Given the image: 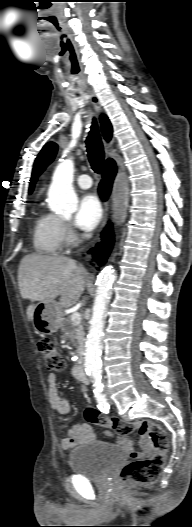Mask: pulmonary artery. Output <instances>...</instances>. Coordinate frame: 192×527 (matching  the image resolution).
I'll list each match as a JSON object with an SVG mask.
<instances>
[{
  "instance_id": "pulmonary-artery-1",
  "label": "pulmonary artery",
  "mask_w": 192,
  "mask_h": 527,
  "mask_svg": "<svg viewBox=\"0 0 192 527\" xmlns=\"http://www.w3.org/2000/svg\"><path fill=\"white\" fill-rule=\"evenodd\" d=\"M78 185L83 189H88L92 186V179L87 174H82L77 178Z\"/></svg>"
}]
</instances>
